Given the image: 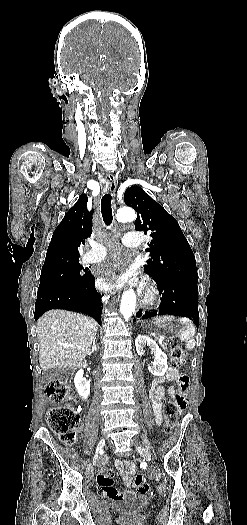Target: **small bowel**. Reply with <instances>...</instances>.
<instances>
[{
    "label": "small bowel",
    "instance_id": "c3829d8e",
    "mask_svg": "<svg viewBox=\"0 0 247 525\" xmlns=\"http://www.w3.org/2000/svg\"><path fill=\"white\" fill-rule=\"evenodd\" d=\"M180 375L181 373L178 369L171 367L166 371L165 377L170 381H177ZM164 393V387L162 386L161 381L158 380L151 392L153 410L157 421L161 420V406ZM115 465L117 468L112 469V473L108 472L105 474L100 472L97 474L94 491L100 493L104 498H112V501L115 504H122L126 499H131L134 496V493L131 490H125L118 493L117 487L113 482L115 479L114 475L120 473L124 484L127 487H130L132 484V476L136 472V466L132 461L127 459H118L116 460Z\"/></svg>",
    "mask_w": 247,
    "mask_h": 525
}]
</instances>
